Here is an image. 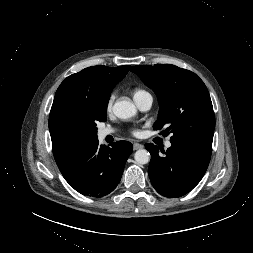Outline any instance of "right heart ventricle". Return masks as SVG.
Segmentation results:
<instances>
[{"mask_svg": "<svg viewBox=\"0 0 253 253\" xmlns=\"http://www.w3.org/2000/svg\"><path fill=\"white\" fill-rule=\"evenodd\" d=\"M147 93H148L147 91L137 88L133 91V96H134V98H137V97L142 96Z\"/></svg>", "mask_w": 253, "mask_h": 253, "instance_id": "1", "label": "right heart ventricle"}]
</instances>
